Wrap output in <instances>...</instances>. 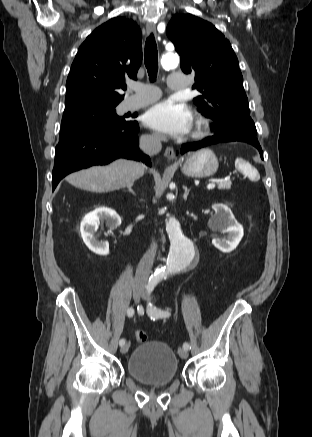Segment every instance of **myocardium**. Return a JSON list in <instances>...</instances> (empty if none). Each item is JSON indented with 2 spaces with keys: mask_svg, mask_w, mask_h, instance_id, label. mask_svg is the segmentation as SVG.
Returning <instances> with one entry per match:
<instances>
[{
  "mask_svg": "<svg viewBox=\"0 0 312 437\" xmlns=\"http://www.w3.org/2000/svg\"><path fill=\"white\" fill-rule=\"evenodd\" d=\"M210 128H211V123H210L209 119H207L203 116H198L195 119L194 130H193L191 136L194 139L202 138L209 133Z\"/></svg>",
  "mask_w": 312,
  "mask_h": 437,
  "instance_id": "1",
  "label": "myocardium"
}]
</instances>
